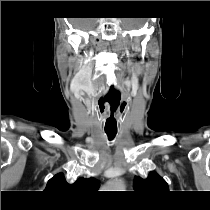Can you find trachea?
<instances>
[{"mask_svg":"<svg viewBox=\"0 0 210 210\" xmlns=\"http://www.w3.org/2000/svg\"><path fill=\"white\" fill-rule=\"evenodd\" d=\"M116 133V131H106L109 140H112L116 136Z\"/></svg>","mask_w":210,"mask_h":210,"instance_id":"obj_1","label":"trachea"}]
</instances>
